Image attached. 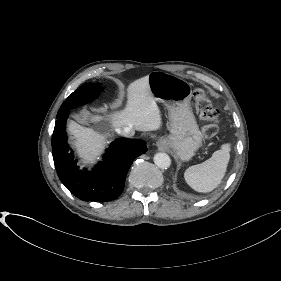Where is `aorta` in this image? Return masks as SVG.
<instances>
[{"label":"aorta","mask_w":281,"mask_h":281,"mask_svg":"<svg viewBox=\"0 0 281 281\" xmlns=\"http://www.w3.org/2000/svg\"><path fill=\"white\" fill-rule=\"evenodd\" d=\"M154 163L161 169H167L171 165V159L166 153H156L154 155Z\"/></svg>","instance_id":"aorta-1"}]
</instances>
